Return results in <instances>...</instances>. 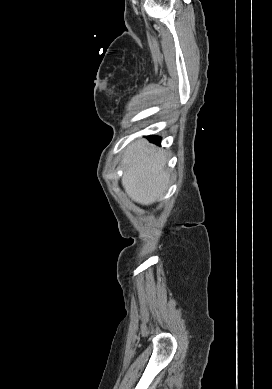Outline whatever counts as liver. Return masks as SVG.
Listing matches in <instances>:
<instances>
[{
    "label": "liver",
    "mask_w": 272,
    "mask_h": 389,
    "mask_svg": "<svg viewBox=\"0 0 272 389\" xmlns=\"http://www.w3.org/2000/svg\"><path fill=\"white\" fill-rule=\"evenodd\" d=\"M166 154L139 139L124 152L122 185L135 202L150 205L167 189L169 173L166 170Z\"/></svg>",
    "instance_id": "1"
}]
</instances>
